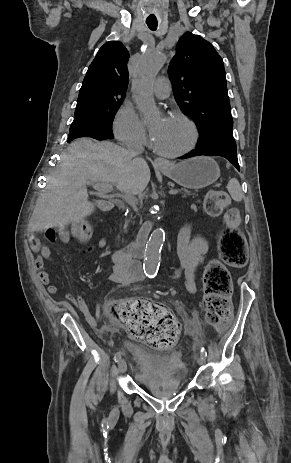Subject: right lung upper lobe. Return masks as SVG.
Returning <instances> with one entry per match:
<instances>
[{
	"label": "right lung upper lobe",
	"instance_id": "obj_1",
	"mask_svg": "<svg viewBox=\"0 0 291 463\" xmlns=\"http://www.w3.org/2000/svg\"><path fill=\"white\" fill-rule=\"evenodd\" d=\"M129 52L119 41L105 43L90 64L79 92L75 116L109 102L123 101L127 85Z\"/></svg>",
	"mask_w": 291,
	"mask_h": 463
}]
</instances>
